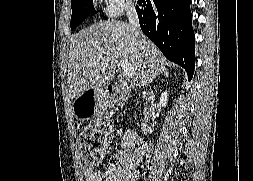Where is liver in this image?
Instances as JSON below:
<instances>
[{
    "mask_svg": "<svg viewBox=\"0 0 253 181\" xmlns=\"http://www.w3.org/2000/svg\"><path fill=\"white\" fill-rule=\"evenodd\" d=\"M119 60L132 64L138 86L153 81L167 65L156 45L145 36L139 39L130 24L116 20L95 23L71 40L67 75L70 98L109 83Z\"/></svg>",
    "mask_w": 253,
    "mask_h": 181,
    "instance_id": "liver-1",
    "label": "liver"
}]
</instances>
